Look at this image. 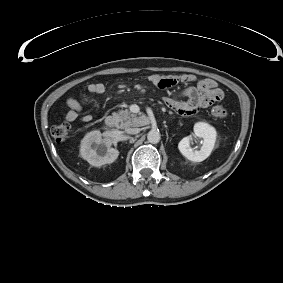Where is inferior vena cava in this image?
Returning <instances> with one entry per match:
<instances>
[{
  "instance_id": "1",
  "label": "inferior vena cava",
  "mask_w": 283,
  "mask_h": 283,
  "mask_svg": "<svg viewBox=\"0 0 283 283\" xmlns=\"http://www.w3.org/2000/svg\"><path fill=\"white\" fill-rule=\"evenodd\" d=\"M140 129L139 128H126L125 132L128 134H137L139 133Z\"/></svg>"
}]
</instances>
